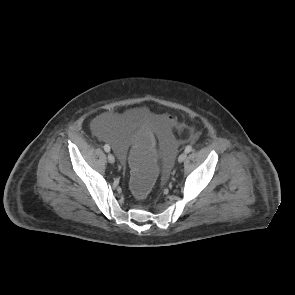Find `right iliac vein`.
<instances>
[{
  "instance_id": "1",
  "label": "right iliac vein",
  "mask_w": 295,
  "mask_h": 295,
  "mask_svg": "<svg viewBox=\"0 0 295 295\" xmlns=\"http://www.w3.org/2000/svg\"><path fill=\"white\" fill-rule=\"evenodd\" d=\"M107 158L109 163L113 164L115 162V157L111 153L108 154Z\"/></svg>"
}]
</instances>
